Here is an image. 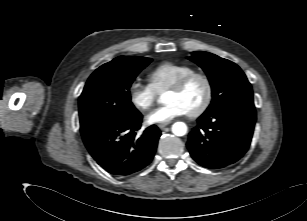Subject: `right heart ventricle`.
Wrapping results in <instances>:
<instances>
[{"instance_id": "obj_1", "label": "right heart ventricle", "mask_w": 307, "mask_h": 221, "mask_svg": "<svg viewBox=\"0 0 307 221\" xmlns=\"http://www.w3.org/2000/svg\"><path fill=\"white\" fill-rule=\"evenodd\" d=\"M194 71L195 68L187 63L163 62L148 74L149 85L156 93H161L180 78Z\"/></svg>"}]
</instances>
